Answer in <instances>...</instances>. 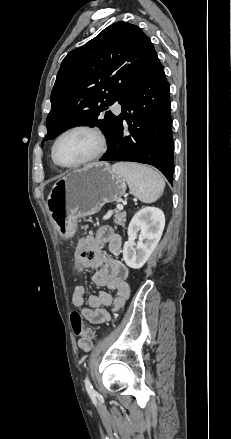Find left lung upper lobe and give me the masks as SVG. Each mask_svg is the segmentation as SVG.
<instances>
[{"label": "left lung upper lobe", "mask_w": 231, "mask_h": 439, "mask_svg": "<svg viewBox=\"0 0 231 439\" xmlns=\"http://www.w3.org/2000/svg\"><path fill=\"white\" fill-rule=\"evenodd\" d=\"M153 48L138 26L119 21L69 52L51 93L43 141L80 125L100 127L109 141L118 116L107 109L116 101L122 105Z\"/></svg>", "instance_id": "left-lung-upper-lobe-1"}]
</instances>
